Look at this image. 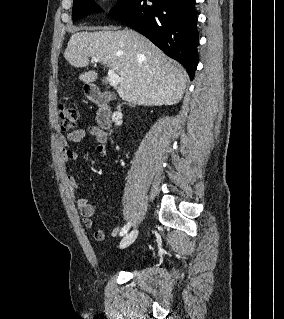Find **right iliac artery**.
Returning <instances> with one entry per match:
<instances>
[{"label":"right iliac artery","instance_id":"right-iliac-artery-1","mask_svg":"<svg viewBox=\"0 0 284 319\" xmlns=\"http://www.w3.org/2000/svg\"><path fill=\"white\" fill-rule=\"evenodd\" d=\"M129 228H130V222H128L126 225H124V227L120 231V236H123L124 234H126L129 230Z\"/></svg>","mask_w":284,"mask_h":319}]
</instances>
